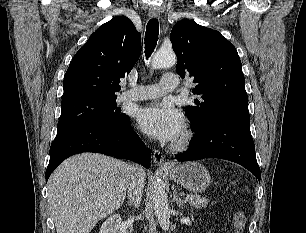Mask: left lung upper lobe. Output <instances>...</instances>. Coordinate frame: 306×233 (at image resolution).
<instances>
[{"mask_svg":"<svg viewBox=\"0 0 306 233\" xmlns=\"http://www.w3.org/2000/svg\"><path fill=\"white\" fill-rule=\"evenodd\" d=\"M172 47L177 55V73L191 77L194 106L185 113L192 131L220 119L250 120L248 96L241 61L235 47L218 31L182 20L171 31Z\"/></svg>","mask_w":306,"mask_h":233,"instance_id":"obj_1","label":"left lung upper lobe"}]
</instances>
